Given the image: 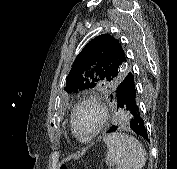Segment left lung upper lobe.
Returning a JSON list of instances; mask_svg holds the SVG:
<instances>
[{"label":"left lung upper lobe","instance_id":"1","mask_svg":"<svg viewBox=\"0 0 177 169\" xmlns=\"http://www.w3.org/2000/svg\"><path fill=\"white\" fill-rule=\"evenodd\" d=\"M128 69V60L119 40L102 34L92 39L79 53L64 90L103 88L114 93Z\"/></svg>","mask_w":177,"mask_h":169}]
</instances>
